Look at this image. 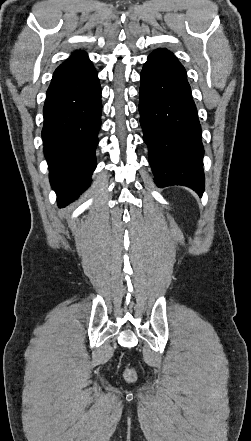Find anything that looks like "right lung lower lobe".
<instances>
[{
  "instance_id": "1",
  "label": "right lung lower lobe",
  "mask_w": 251,
  "mask_h": 441,
  "mask_svg": "<svg viewBox=\"0 0 251 441\" xmlns=\"http://www.w3.org/2000/svg\"><path fill=\"white\" fill-rule=\"evenodd\" d=\"M93 65L56 70L46 93L42 139L58 204L77 198L96 168L101 87Z\"/></svg>"
}]
</instances>
